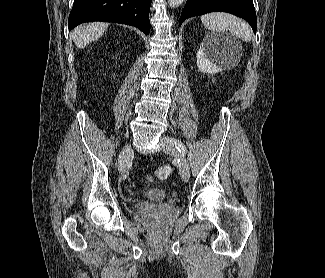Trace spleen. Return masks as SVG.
<instances>
[{
    "label": "spleen",
    "instance_id": "spleen-1",
    "mask_svg": "<svg viewBox=\"0 0 325 278\" xmlns=\"http://www.w3.org/2000/svg\"><path fill=\"white\" fill-rule=\"evenodd\" d=\"M203 25L213 32L230 31L231 34L248 42L252 35L249 26L241 19L228 13H208L201 16Z\"/></svg>",
    "mask_w": 325,
    "mask_h": 278
}]
</instances>
